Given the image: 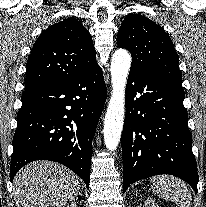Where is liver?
Instances as JSON below:
<instances>
[{"label": "liver", "instance_id": "1", "mask_svg": "<svg viewBox=\"0 0 206 207\" xmlns=\"http://www.w3.org/2000/svg\"><path fill=\"white\" fill-rule=\"evenodd\" d=\"M79 189L78 177L65 166L36 161L17 173L13 194L18 207H64Z\"/></svg>", "mask_w": 206, "mask_h": 207}]
</instances>
